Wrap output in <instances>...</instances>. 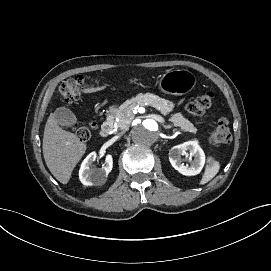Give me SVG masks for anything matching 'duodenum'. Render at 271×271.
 I'll return each instance as SVG.
<instances>
[{
	"label": "duodenum",
	"instance_id": "410a0bca",
	"mask_svg": "<svg viewBox=\"0 0 271 271\" xmlns=\"http://www.w3.org/2000/svg\"><path fill=\"white\" fill-rule=\"evenodd\" d=\"M113 127H114V116L113 114H109L101 126L100 130L101 136L103 138L108 137L112 133Z\"/></svg>",
	"mask_w": 271,
	"mask_h": 271
}]
</instances>
